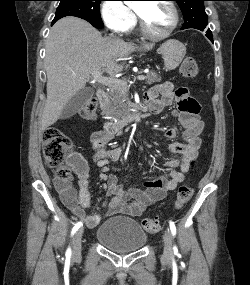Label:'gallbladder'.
Here are the masks:
<instances>
[{
	"label": "gallbladder",
	"mask_w": 250,
	"mask_h": 285,
	"mask_svg": "<svg viewBox=\"0 0 250 285\" xmlns=\"http://www.w3.org/2000/svg\"><path fill=\"white\" fill-rule=\"evenodd\" d=\"M94 95V89L84 87L80 89L65 105L61 112V119L70 118L75 115Z\"/></svg>",
	"instance_id": "bac80fb5"
}]
</instances>
